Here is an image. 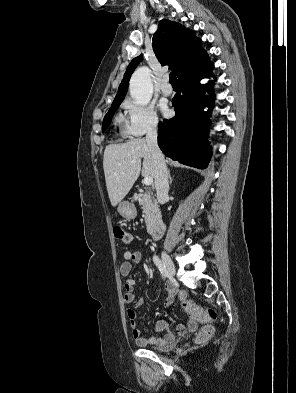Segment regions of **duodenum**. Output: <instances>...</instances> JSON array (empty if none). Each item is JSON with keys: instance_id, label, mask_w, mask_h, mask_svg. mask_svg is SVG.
I'll use <instances>...</instances> for the list:
<instances>
[{"instance_id": "obj_1", "label": "duodenum", "mask_w": 296, "mask_h": 393, "mask_svg": "<svg viewBox=\"0 0 296 393\" xmlns=\"http://www.w3.org/2000/svg\"><path fill=\"white\" fill-rule=\"evenodd\" d=\"M163 235V226L160 222H157L151 229V236L153 239L158 240Z\"/></svg>"}]
</instances>
